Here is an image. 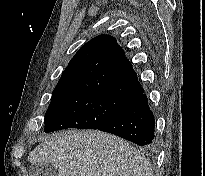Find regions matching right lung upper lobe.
Returning a JSON list of instances; mask_svg holds the SVG:
<instances>
[{
	"label": "right lung upper lobe",
	"mask_w": 205,
	"mask_h": 176,
	"mask_svg": "<svg viewBox=\"0 0 205 176\" xmlns=\"http://www.w3.org/2000/svg\"><path fill=\"white\" fill-rule=\"evenodd\" d=\"M138 77L114 37L97 36L69 62L52 96L103 92L131 99L143 92Z\"/></svg>",
	"instance_id": "cb5924a9"
}]
</instances>
